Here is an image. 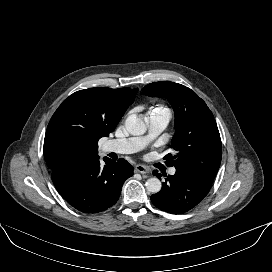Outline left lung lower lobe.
Masks as SVG:
<instances>
[{"label": "left lung lower lobe", "instance_id": "obj_1", "mask_svg": "<svg viewBox=\"0 0 272 272\" xmlns=\"http://www.w3.org/2000/svg\"><path fill=\"white\" fill-rule=\"evenodd\" d=\"M158 178L161 174L154 171ZM213 180L185 169L176 168L167 176L161 191L151 196L152 203L162 211L180 214L193 209L208 194Z\"/></svg>", "mask_w": 272, "mask_h": 272}]
</instances>
